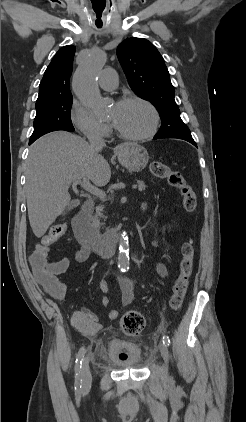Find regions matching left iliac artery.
I'll return each mask as SVG.
<instances>
[{
	"label": "left iliac artery",
	"instance_id": "left-iliac-artery-1",
	"mask_svg": "<svg viewBox=\"0 0 246 422\" xmlns=\"http://www.w3.org/2000/svg\"><path fill=\"white\" fill-rule=\"evenodd\" d=\"M163 343H164L166 346H169V345H170V339H169V336H168V335H164V336H163Z\"/></svg>",
	"mask_w": 246,
	"mask_h": 422
}]
</instances>
